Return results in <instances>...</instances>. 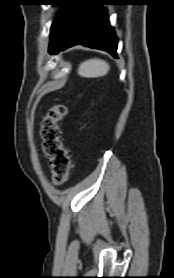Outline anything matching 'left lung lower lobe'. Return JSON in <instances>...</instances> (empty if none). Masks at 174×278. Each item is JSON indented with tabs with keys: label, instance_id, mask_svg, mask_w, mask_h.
Instances as JSON below:
<instances>
[{
	"label": "left lung lower lobe",
	"instance_id": "1",
	"mask_svg": "<svg viewBox=\"0 0 174 278\" xmlns=\"http://www.w3.org/2000/svg\"><path fill=\"white\" fill-rule=\"evenodd\" d=\"M109 4H112L111 0H78L66 36L49 50L50 54H57L59 51L82 44L107 51L117 58L118 39L103 7Z\"/></svg>",
	"mask_w": 174,
	"mask_h": 278
}]
</instances>
